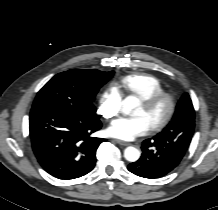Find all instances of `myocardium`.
<instances>
[{"mask_svg": "<svg viewBox=\"0 0 218 210\" xmlns=\"http://www.w3.org/2000/svg\"><path fill=\"white\" fill-rule=\"evenodd\" d=\"M160 103H165L167 105V111L165 116L159 122L150 127L152 132L163 130L171 122L176 109L175 99L171 94L165 91L141 99V104L148 110L154 108Z\"/></svg>", "mask_w": 218, "mask_h": 210, "instance_id": "myocardium-1", "label": "myocardium"}]
</instances>
